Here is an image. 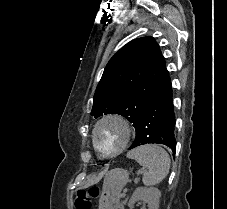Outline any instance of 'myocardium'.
<instances>
[{
  "mask_svg": "<svg viewBox=\"0 0 227 209\" xmlns=\"http://www.w3.org/2000/svg\"><path fill=\"white\" fill-rule=\"evenodd\" d=\"M106 120H114V121L120 123L125 130V139H124L122 145L118 149H116L112 152H109V153H102L99 150V148L97 147V144L95 141V134H96V130L99 127V125ZM131 138H132V129H131L130 123L123 115H121L119 113H107L105 115H102L95 122V124L93 125V128H92V131H91L92 147H93L96 155L101 159H109V158H113V157L119 155L129 145Z\"/></svg>",
  "mask_w": 227,
  "mask_h": 209,
  "instance_id": "f54148a6",
  "label": "myocardium"
}]
</instances>
